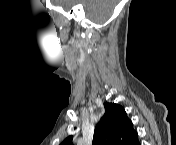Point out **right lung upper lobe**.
Segmentation results:
<instances>
[{"mask_svg": "<svg viewBox=\"0 0 176 145\" xmlns=\"http://www.w3.org/2000/svg\"><path fill=\"white\" fill-rule=\"evenodd\" d=\"M105 114L95 127L92 145H137L138 135L124 108L115 103H104ZM61 145H72V136Z\"/></svg>", "mask_w": 176, "mask_h": 145, "instance_id": "right-lung-upper-lobe-1", "label": "right lung upper lobe"}]
</instances>
